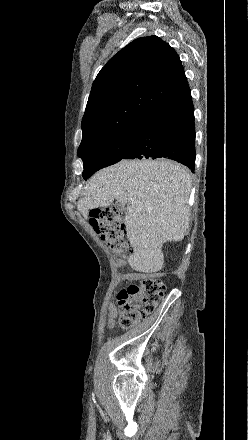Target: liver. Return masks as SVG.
I'll list each match as a JSON object with an SVG mask.
<instances>
[{"label":"liver","mask_w":248,"mask_h":440,"mask_svg":"<svg viewBox=\"0 0 248 440\" xmlns=\"http://www.w3.org/2000/svg\"><path fill=\"white\" fill-rule=\"evenodd\" d=\"M189 170L166 159L122 160L95 173L78 201L84 218L114 199L127 204L125 227L136 271L156 273L164 264L162 246L181 241L189 226Z\"/></svg>","instance_id":"6515ba94"}]
</instances>
